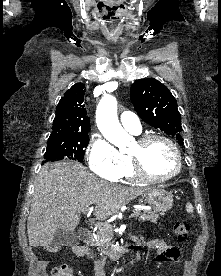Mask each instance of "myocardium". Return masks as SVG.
Instances as JSON below:
<instances>
[{
    "label": "myocardium",
    "instance_id": "1",
    "mask_svg": "<svg viewBox=\"0 0 221 276\" xmlns=\"http://www.w3.org/2000/svg\"><path fill=\"white\" fill-rule=\"evenodd\" d=\"M154 140H162L164 142H166L171 149L174 152L175 158H176V168L174 170L173 173L164 176V177H156V176H152L151 174H149L142 162V159L139 155L137 154H130V160L133 166V171L135 176L142 180V181H146V182H151V183H161V182H166L169 181L175 177H177L182 169V156H181V152L177 146V144L168 136L162 135V134H148V135H144L142 137H140L137 140V144L140 147H144L145 145H147L148 143L154 141Z\"/></svg>",
    "mask_w": 221,
    "mask_h": 276
}]
</instances>
